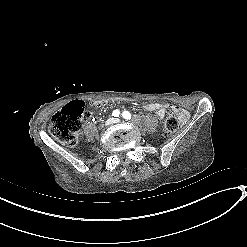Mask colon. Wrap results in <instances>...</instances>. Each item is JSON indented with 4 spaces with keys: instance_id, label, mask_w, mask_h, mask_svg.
<instances>
[{
    "instance_id": "obj_1",
    "label": "colon",
    "mask_w": 247,
    "mask_h": 247,
    "mask_svg": "<svg viewBox=\"0 0 247 247\" xmlns=\"http://www.w3.org/2000/svg\"><path fill=\"white\" fill-rule=\"evenodd\" d=\"M133 104L135 99L133 97L126 96L119 98H111L103 100L101 103L96 102L94 107L100 109L102 106L107 107L118 104ZM137 103L146 106V103L137 100ZM88 121L87 113L81 101L74 100L71 104L65 106L62 110L57 112L53 118V121L49 127L51 135L65 143H75L78 132ZM178 128L177 116L173 111H168L165 118V131L168 134L176 132Z\"/></svg>"
}]
</instances>
